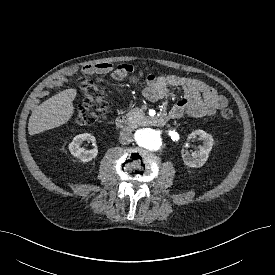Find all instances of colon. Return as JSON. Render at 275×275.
<instances>
[{
	"label": "colon",
	"instance_id": "1",
	"mask_svg": "<svg viewBox=\"0 0 275 275\" xmlns=\"http://www.w3.org/2000/svg\"><path fill=\"white\" fill-rule=\"evenodd\" d=\"M114 68L120 71L123 69V64L116 65ZM80 88L84 99L77 112L75 123L79 126H87L95 123L100 118L107 110L108 102L105 92L93 80H81ZM220 116L224 120H229L233 117V110L229 107L223 108Z\"/></svg>",
	"mask_w": 275,
	"mask_h": 275
}]
</instances>
